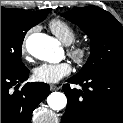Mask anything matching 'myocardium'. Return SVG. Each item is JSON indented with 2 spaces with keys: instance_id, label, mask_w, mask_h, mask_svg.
<instances>
[{
  "instance_id": "myocardium-1",
  "label": "myocardium",
  "mask_w": 123,
  "mask_h": 123,
  "mask_svg": "<svg viewBox=\"0 0 123 123\" xmlns=\"http://www.w3.org/2000/svg\"><path fill=\"white\" fill-rule=\"evenodd\" d=\"M90 47L85 43L73 42L69 44L67 54L71 60L78 66L84 65L90 57Z\"/></svg>"
}]
</instances>
